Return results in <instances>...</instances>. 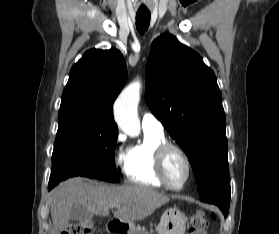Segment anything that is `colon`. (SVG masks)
Returning a JSON list of instances; mask_svg holds the SVG:
<instances>
[{"instance_id":"obj_1","label":"colon","mask_w":279,"mask_h":234,"mask_svg":"<svg viewBox=\"0 0 279 234\" xmlns=\"http://www.w3.org/2000/svg\"><path fill=\"white\" fill-rule=\"evenodd\" d=\"M209 226L208 216L202 212H195L189 220V234H206ZM61 234H91V223L89 221H78L64 227Z\"/></svg>"}]
</instances>
